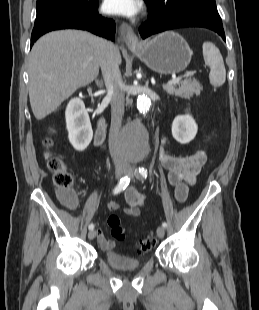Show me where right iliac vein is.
Wrapping results in <instances>:
<instances>
[{
  "mask_svg": "<svg viewBox=\"0 0 259 310\" xmlns=\"http://www.w3.org/2000/svg\"><path fill=\"white\" fill-rule=\"evenodd\" d=\"M126 166L122 164H118L115 166V174L116 177H120L125 171H126ZM96 237V230H90L88 233V238L90 240H93Z\"/></svg>",
  "mask_w": 259,
  "mask_h": 310,
  "instance_id": "63e3f726",
  "label": "right iliac vein"
}]
</instances>
